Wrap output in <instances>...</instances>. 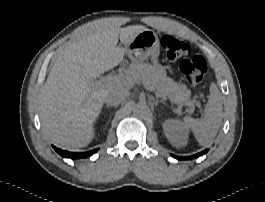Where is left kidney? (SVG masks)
<instances>
[{
  "label": "left kidney",
  "instance_id": "obj_1",
  "mask_svg": "<svg viewBox=\"0 0 265 202\" xmlns=\"http://www.w3.org/2000/svg\"><path fill=\"white\" fill-rule=\"evenodd\" d=\"M163 130L169 142L176 148L186 146L188 131L185 126L175 119H168L163 123Z\"/></svg>",
  "mask_w": 265,
  "mask_h": 202
}]
</instances>
